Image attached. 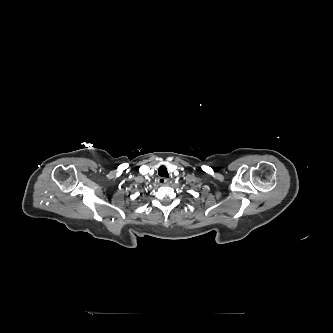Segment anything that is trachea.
I'll list each match as a JSON object with an SVG mask.
<instances>
[{
  "mask_svg": "<svg viewBox=\"0 0 333 333\" xmlns=\"http://www.w3.org/2000/svg\"><path fill=\"white\" fill-rule=\"evenodd\" d=\"M158 174L159 176L161 177H168L169 174H168V171H167V168L165 166H160L159 169H158Z\"/></svg>",
  "mask_w": 333,
  "mask_h": 333,
  "instance_id": "1",
  "label": "trachea"
}]
</instances>
